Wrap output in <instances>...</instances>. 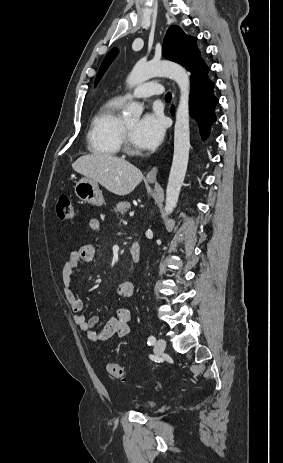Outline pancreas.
Masks as SVG:
<instances>
[{
    "mask_svg": "<svg viewBox=\"0 0 283 463\" xmlns=\"http://www.w3.org/2000/svg\"><path fill=\"white\" fill-rule=\"evenodd\" d=\"M131 208V205L129 202L124 201V202H119L114 208L113 212L116 214H125L129 209Z\"/></svg>",
    "mask_w": 283,
    "mask_h": 463,
    "instance_id": "pancreas-1",
    "label": "pancreas"
}]
</instances>
